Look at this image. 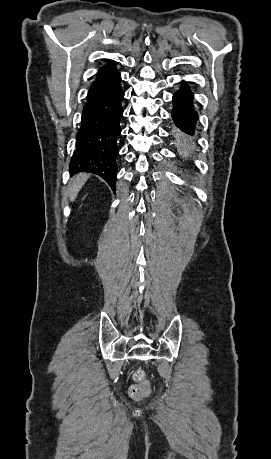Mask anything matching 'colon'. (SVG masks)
<instances>
[{"mask_svg": "<svg viewBox=\"0 0 271 459\" xmlns=\"http://www.w3.org/2000/svg\"><path fill=\"white\" fill-rule=\"evenodd\" d=\"M134 381L136 384L131 387L130 394L134 398L145 396L149 392V385L145 377V373L142 370H137L134 373Z\"/></svg>", "mask_w": 271, "mask_h": 459, "instance_id": "obj_1", "label": "colon"}]
</instances>
